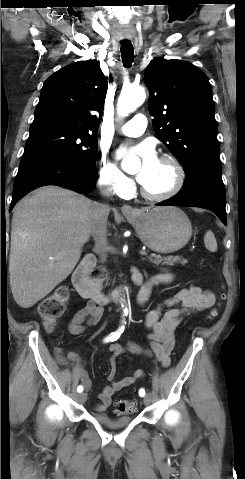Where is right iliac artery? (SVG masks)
I'll return each instance as SVG.
<instances>
[{
	"label": "right iliac artery",
	"mask_w": 245,
	"mask_h": 479,
	"mask_svg": "<svg viewBox=\"0 0 245 479\" xmlns=\"http://www.w3.org/2000/svg\"><path fill=\"white\" fill-rule=\"evenodd\" d=\"M124 323H125V322L123 321V325L120 326L117 331L112 332L109 336H107V337L104 339V342H113V341H116V340L120 337V335L123 333V331H124ZM82 391H83V387H82L81 385H79V386L77 387V392L81 393Z\"/></svg>",
	"instance_id": "82829eb1"
}]
</instances>
